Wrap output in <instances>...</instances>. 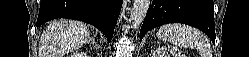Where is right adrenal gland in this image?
<instances>
[{
	"label": "right adrenal gland",
	"instance_id": "right-adrenal-gland-1",
	"mask_svg": "<svg viewBox=\"0 0 249 57\" xmlns=\"http://www.w3.org/2000/svg\"><path fill=\"white\" fill-rule=\"evenodd\" d=\"M92 40H93V43H95V39L93 38Z\"/></svg>",
	"mask_w": 249,
	"mask_h": 57
}]
</instances>
